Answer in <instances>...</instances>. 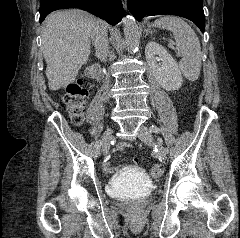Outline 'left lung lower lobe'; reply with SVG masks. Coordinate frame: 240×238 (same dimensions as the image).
I'll use <instances>...</instances> for the list:
<instances>
[{
    "mask_svg": "<svg viewBox=\"0 0 240 238\" xmlns=\"http://www.w3.org/2000/svg\"><path fill=\"white\" fill-rule=\"evenodd\" d=\"M131 14L140 21L146 16L177 15L193 21L205 31L203 0H127Z\"/></svg>",
    "mask_w": 240,
    "mask_h": 238,
    "instance_id": "0a47b994",
    "label": "left lung lower lobe"
}]
</instances>
